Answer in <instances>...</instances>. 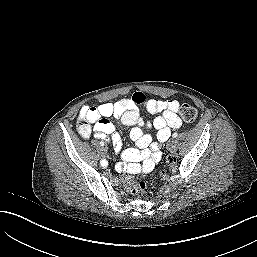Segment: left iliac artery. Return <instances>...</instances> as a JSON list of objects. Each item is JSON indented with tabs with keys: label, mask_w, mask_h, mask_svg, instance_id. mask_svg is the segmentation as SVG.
<instances>
[{
	"label": "left iliac artery",
	"mask_w": 257,
	"mask_h": 257,
	"mask_svg": "<svg viewBox=\"0 0 257 257\" xmlns=\"http://www.w3.org/2000/svg\"><path fill=\"white\" fill-rule=\"evenodd\" d=\"M177 136H178V133H176V132L173 133V135H172L173 138H176Z\"/></svg>",
	"instance_id": "left-iliac-artery-1"
}]
</instances>
